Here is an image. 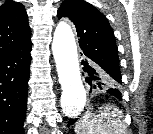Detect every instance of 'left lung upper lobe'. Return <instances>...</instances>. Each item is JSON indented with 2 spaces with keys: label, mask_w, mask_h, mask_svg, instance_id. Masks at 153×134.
<instances>
[{
  "label": "left lung upper lobe",
  "mask_w": 153,
  "mask_h": 134,
  "mask_svg": "<svg viewBox=\"0 0 153 134\" xmlns=\"http://www.w3.org/2000/svg\"><path fill=\"white\" fill-rule=\"evenodd\" d=\"M57 15L59 19L68 17L75 24L80 48L88 60L111 72L105 87L119 89L122 81L118 50L107 18L84 0H64Z\"/></svg>",
  "instance_id": "1"
}]
</instances>
